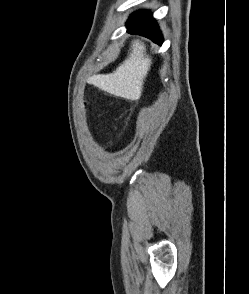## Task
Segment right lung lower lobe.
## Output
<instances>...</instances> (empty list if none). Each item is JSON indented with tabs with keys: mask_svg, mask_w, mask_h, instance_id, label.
<instances>
[{
	"mask_svg": "<svg viewBox=\"0 0 249 294\" xmlns=\"http://www.w3.org/2000/svg\"><path fill=\"white\" fill-rule=\"evenodd\" d=\"M127 28L128 32L146 36L159 45L163 42L157 23L152 18L150 11L133 14L127 22Z\"/></svg>",
	"mask_w": 249,
	"mask_h": 294,
	"instance_id": "obj_1",
	"label": "right lung lower lobe"
}]
</instances>
